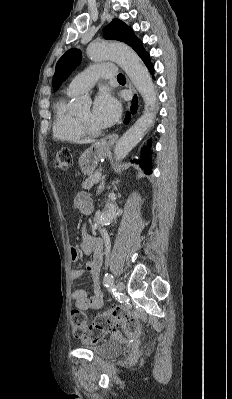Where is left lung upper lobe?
<instances>
[{
	"label": "left lung upper lobe",
	"mask_w": 232,
	"mask_h": 399,
	"mask_svg": "<svg viewBox=\"0 0 232 399\" xmlns=\"http://www.w3.org/2000/svg\"><path fill=\"white\" fill-rule=\"evenodd\" d=\"M104 38L108 40L122 41L131 46L135 51L142 47V42L135 37L131 28L119 19H113V21L105 27ZM80 61L81 52L75 48L68 50L59 59L53 76L54 90L59 88L71 72L80 64Z\"/></svg>",
	"instance_id": "left-lung-upper-lobe-1"
}]
</instances>
